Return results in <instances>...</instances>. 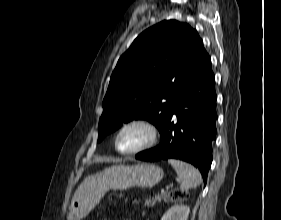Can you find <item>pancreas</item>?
Segmentation results:
<instances>
[{"label":"pancreas","instance_id":"obj_1","mask_svg":"<svg viewBox=\"0 0 281 220\" xmlns=\"http://www.w3.org/2000/svg\"><path fill=\"white\" fill-rule=\"evenodd\" d=\"M168 197V193H163L161 195H155L154 197H150L149 199H146L145 206H154L156 202H160L162 199L166 200Z\"/></svg>","mask_w":281,"mask_h":220}]
</instances>
